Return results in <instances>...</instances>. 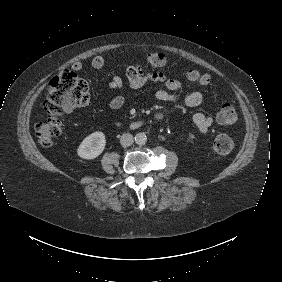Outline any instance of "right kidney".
Returning a JSON list of instances; mask_svg holds the SVG:
<instances>
[{
    "label": "right kidney",
    "mask_w": 282,
    "mask_h": 282,
    "mask_svg": "<svg viewBox=\"0 0 282 282\" xmlns=\"http://www.w3.org/2000/svg\"><path fill=\"white\" fill-rule=\"evenodd\" d=\"M106 145L103 132H94L87 136L77 149L78 155L83 159H94L104 150Z\"/></svg>",
    "instance_id": "right-kidney-1"
}]
</instances>
